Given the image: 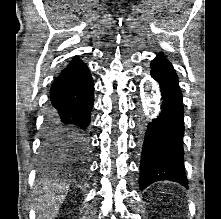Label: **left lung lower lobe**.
Segmentation results:
<instances>
[{"instance_id": "0a47b994", "label": "left lung lower lobe", "mask_w": 221, "mask_h": 219, "mask_svg": "<svg viewBox=\"0 0 221 219\" xmlns=\"http://www.w3.org/2000/svg\"><path fill=\"white\" fill-rule=\"evenodd\" d=\"M151 76L159 83L161 112L148 124L140 162V189L170 180L187 186L183 163V100L171 63L158 55L151 62Z\"/></svg>"}]
</instances>
